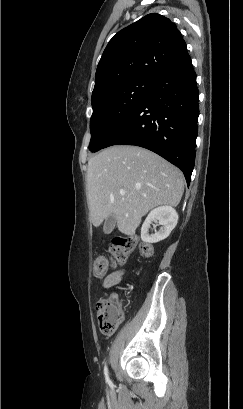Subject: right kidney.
<instances>
[{
    "mask_svg": "<svg viewBox=\"0 0 243 409\" xmlns=\"http://www.w3.org/2000/svg\"><path fill=\"white\" fill-rule=\"evenodd\" d=\"M155 222L162 227L155 234H149L150 225ZM178 222V214L171 206H160L153 209L141 227V239L147 243H157L166 239Z\"/></svg>",
    "mask_w": 243,
    "mask_h": 409,
    "instance_id": "right-kidney-1",
    "label": "right kidney"
}]
</instances>
